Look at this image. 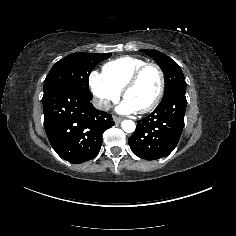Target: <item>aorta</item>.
<instances>
[{"label": "aorta", "mask_w": 236, "mask_h": 236, "mask_svg": "<svg viewBox=\"0 0 236 236\" xmlns=\"http://www.w3.org/2000/svg\"><path fill=\"white\" fill-rule=\"evenodd\" d=\"M122 130L131 133L135 130V123L132 120L125 119L121 122Z\"/></svg>", "instance_id": "obj_1"}]
</instances>
